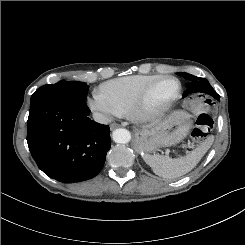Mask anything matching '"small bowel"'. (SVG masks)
<instances>
[{"mask_svg":"<svg viewBox=\"0 0 245 245\" xmlns=\"http://www.w3.org/2000/svg\"><path fill=\"white\" fill-rule=\"evenodd\" d=\"M187 109L192 114H208L211 113L216 103L213 99L207 97H190L187 102Z\"/></svg>","mask_w":245,"mask_h":245,"instance_id":"1","label":"small bowel"}]
</instances>
